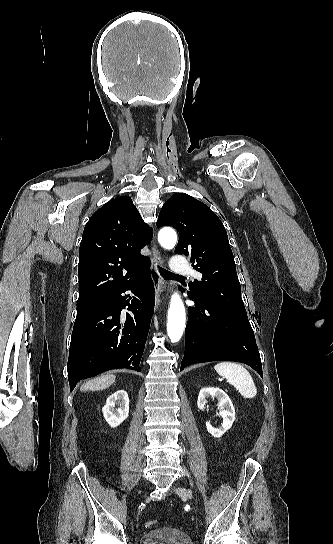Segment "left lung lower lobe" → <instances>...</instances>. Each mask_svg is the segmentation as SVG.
I'll return each mask as SVG.
<instances>
[{
    "label": "left lung lower lobe",
    "instance_id": "0a47b994",
    "mask_svg": "<svg viewBox=\"0 0 333 544\" xmlns=\"http://www.w3.org/2000/svg\"><path fill=\"white\" fill-rule=\"evenodd\" d=\"M182 291H184L182 289ZM195 302L185 330V355L181 370L194 363L217 360L242 362L261 377L262 365L250 323L216 309L188 293Z\"/></svg>",
    "mask_w": 333,
    "mask_h": 544
}]
</instances>
